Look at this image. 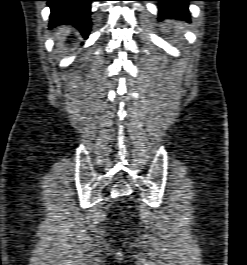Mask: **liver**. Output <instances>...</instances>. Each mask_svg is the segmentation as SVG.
Returning a JSON list of instances; mask_svg holds the SVG:
<instances>
[{
	"instance_id": "liver-1",
	"label": "liver",
	"mask_w": 247,
	"mask_h": 265,
	"mask_svg": "<svg viewBox=\"0 0 247 265\" xmlns=\"http://www.w3.org/2000/svg\"><path fill=\"white\" fill-rule=\"evenodd\" d=\"M71 32V28L69 26H61L55 32V38L57 41V45L61 46L65 41L66 36Z\"/></svg>"
}]
</instances>
